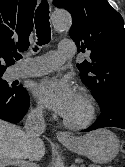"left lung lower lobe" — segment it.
<instances>
[{
  "mask_svg": "<svg viewBox=\"0 0 125 167\" xmlns=\"http://www.w3.org/2000/svg\"><path fill=\"white\" fill-rule=\"evenodd\" d=\"M101 115L93 126L82 132H89L103 127L125 129V98H112L101 107Z\"/></svg>",
  "mask_w": 125,
  "mask_h": 167,
  "instance_id": "left-lung-lower-lobe-1",
  "label": "left lung lower lobe"
}]
</instances>
